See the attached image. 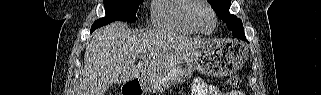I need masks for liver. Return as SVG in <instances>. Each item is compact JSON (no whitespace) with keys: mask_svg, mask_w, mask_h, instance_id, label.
<instances>
[{"mask_svg":"<svg viewBox=\"0 0 321 95\" xmlns=\"http://www.w3.org/2000/svg\"><path fill=\"white\" fill-rule=\"evenodd\" d=\"M170 37L163 31L131 33L122 22L96 30L86 46L84 72L76 95H104L113 83H126L139 78L140 73L141 77H151L208 42L175 37L177 47L171 51L165 41Z\"/></svg>","mask_w":321,"mask_h":95,"instance_id":"6515ba94","label":"liver"}]
</instances>
